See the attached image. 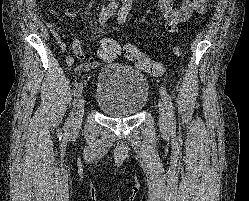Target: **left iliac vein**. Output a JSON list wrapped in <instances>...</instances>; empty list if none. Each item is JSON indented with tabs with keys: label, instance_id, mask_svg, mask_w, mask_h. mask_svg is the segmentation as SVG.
<instances>
[{
	"label": "left iliac vein",
	"instance_id": "left-iliac-vein-1",
	"mask_svg": "<svg viewBox=\"0 0 249 201\" xmlns=\"http://www.w3.org/2000/svg\"><path fill=\"white\" fill-rule=\"evenodd\" d=\"M159 125L161 130L168 131L169 120L164 104L161 102L159 104Z\"/></svg>",
	"mask_w": 249,
	"mask_h": 201
}]
</instances>
